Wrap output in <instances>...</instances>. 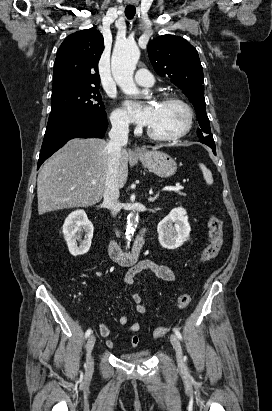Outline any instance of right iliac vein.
<instances>
[{
    "mask_svg": "<svg viewBox=\"0 0 272 411\" xmlns=\"http://www.w3.org/2000/svg\"><path fill=\"white\" fill-rule=\"evenodd\" d=\"M96 338L94 335L89 336L88 341L86 343V364L87 369L91 370L93 368V359L91 356L92 349L95 345Z\"/></svg>",
    "mask_w": 272,
    "mask_h": 411,
    "instance_id": "right-iliac-vein-1",
    "label": "right iliac vein"
}]
</instances>
